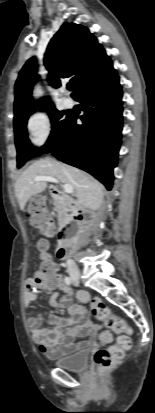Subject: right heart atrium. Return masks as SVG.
Masks as SVG:
<instances>
[{"label": "right heart atrium", "instance_id": "right-heart-atrium-1", "mask_svg": "<svg viewBox=\"0 0 155 413\" xmlns=\"http://www.w3.org/2000/svg\"><path fill=\"white\" fill-rule=\"evenodd\" d=\"M26 128L31 144L36 147L43 146L51 136V117L46 112H36L28 118Z\"/></svg>", "mask_w": 155, "mask_h": 413}]
</instances>
